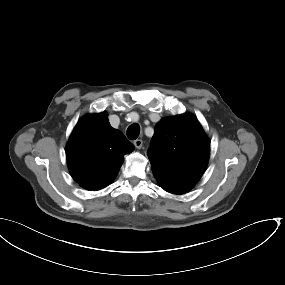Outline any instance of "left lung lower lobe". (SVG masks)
I'll return each mask as SVG.
<instances>
[{
	"mask_svg": "<svg viewBox=\"0 0 285 285\" xmlns=\"http://www.w3.org/2000/svg\"><path fill=\"white\" fill-rule=\"evenodd\" d=\"M158 180L160 186L167 192L173 194H184L188 192L194 185L186 182L175 181L161 176L158 173H153Z\"/></svg>",
	"mask_w": 285,
	"mask_h": 285,
	"instance_id": "0a47b994",
	"label": "left lung lower lobe"
}]
</instances>
